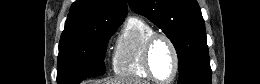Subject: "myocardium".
Masks as SVG:
<instances>
[{
  "label": "myocardium",
  "instance_id": "1",
  "mask_svg": "<svg viewBox=\"0 0 260 84\" xmlns=\"http://www.w3.org/2000/svg\"><path fill=\"white\" fill-rule=\"evenodd\" d=\"M159 39L165 40L168 43V45L170 46L172 53H173L174 70H173L172 76L168 80L158 79L153 71L152 64H151V55H152L153 47ZM143 58H144V68H145L149 78L152 79L154 82L161 83V84H169V83H172L176 79V77L179 73V69H180V57H179L178 49H177L174 41L167 34H165L163 32L152 33L145 42Z\"/></svg>",
  "mask_w": 260,
  "mask_h": 84
}]
</instances>
